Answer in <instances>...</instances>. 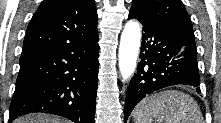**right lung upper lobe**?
Returning <instances> with one entry per match:
<instances>
[{"mask_svg": "<svg viewBox=\"0 0 221 123\" xmlns=\"http://www.w3.org/2000/svg\"><path fill=\"white\" fill-rule=\"evenodd\" d=\"M97 18L94 0H44L28 25L22 53L62 48L94 37Z\"/></svg>", "mask_w": 221, "mask_h": 123, "instance_id": "right-lung-upper-lobe-1", "label": "right lung upper lobe"}]
</instances>
